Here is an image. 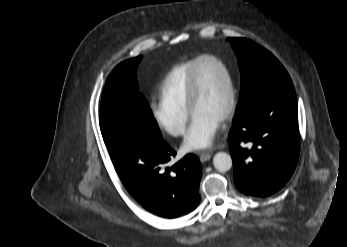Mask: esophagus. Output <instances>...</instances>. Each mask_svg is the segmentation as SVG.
Here are the masks:
<instances>
[{
	"instance_id": "1",
	"label": "esophagus",
	"mask_w": 347,
	"mask_h": 247,
	"mask_svg": "<svg viewBox=\"0 0 347 247\" xmlns=\"http://www.w3.org/2000/svg\"><path fill=\"white\" fill-rule=\"evenodd\" d=\"M200 161L205 162L211 158V152L210 151H202L199 153Z\"/></svg>"
}]
</instances>
